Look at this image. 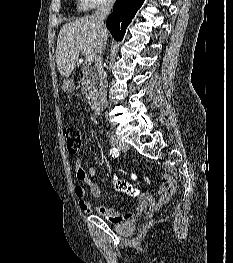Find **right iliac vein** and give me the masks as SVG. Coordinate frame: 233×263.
<instances>
[{"instance_id":"right-iliac-vein-1","label":"right iliac vein","mask_w":233,"mask_h":263,"mask_svg":"<svg viewBox=\"0 0 233 263\" xmlns=\"http://www.w3.org/2000/svg\"><path fill=\"white\" fill-rule=\"evenodd\" d=\"M110 143L112 146H114L115 148L119 149V150H127L129 149V145L115 137H111L110 138Z\"/></svg>"}]
</instances>
